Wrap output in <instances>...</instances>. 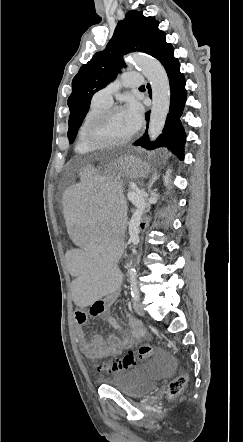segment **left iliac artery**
I'll use <instances>...</instances> for the list:
<instances>
[{"label": "left iliac artery", "mask_w": 243, "mask_h": 442, "mask_svg": "<svg viewBox=\"0 0 243 442\" xmlns=\"http://www.w3.org/2000/svg\"><path fill=\"white\" fill-rule=\"evenodd\" d=\"M129 275H130V278L132 280L131 281V283H132L131 284V295H132V298H133L134 301H138L139 300V291H138L137 284L135 282V275H136L135 270L130 271Z\"/></svg>", "instance_id": "left-iliac-artery-1"}]
</instances>
